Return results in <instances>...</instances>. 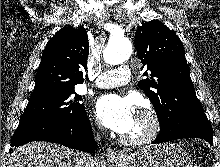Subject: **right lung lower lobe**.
Returning a JSON list of instances; mask_svg holds the SVG:
<instances>
[{
	"label": "right lung lower lobe",
	"mask_w": 220,
	"mask_h": 167,
	"mask_svg": "<svg viewBox=\"0 0 220 167\" xmlns=\"http://www.w3.org/2000/svg\"><path fill=\"white\" fill-rule=\"evenodd\" d=\"M31 141L59 143L89 153L95 152L97 148L85 110L71 120L45 119L20 123L12 137L11 147H18Z\"/></svg>",
	"instance_id": "1"
}]
</instances>
